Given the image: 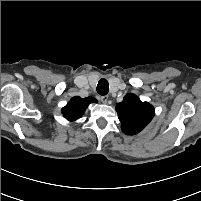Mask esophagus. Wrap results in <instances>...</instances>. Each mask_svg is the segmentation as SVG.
<instances>
[{"label":"esophagus","mask_w":201,"mask_h":201,"mask_svg":"<svg viewBox=\"0 0 201 201\" xmlns=\"http://www.w3.org/2000/svg\"><path fill=\"white\" fill-rule=\"evenodd\" d=\"M100 100H101V102H103V103H107V101H108V96H107V95L101 96V97H100Z\"/></svg>","instance_id":"obj_1"}]
</instances>
